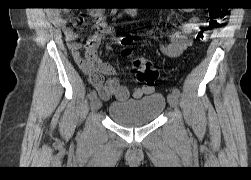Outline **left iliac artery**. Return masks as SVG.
<instances>
[{"label":"left iliac artery","mask_w":251,"mask_h":180,"mask_svg":"<svg viewBox=\"0 0 251 180\" xmlns=\"http://www.w3.org/2000/svg\"><path fill=\"white\" fill-rule=\"evenodd\" d=\"M172 93L176 96L179 97L180 96V90L178 88H173Z\"/></svg>","instance_id":"obj_1"}]
</instances>
